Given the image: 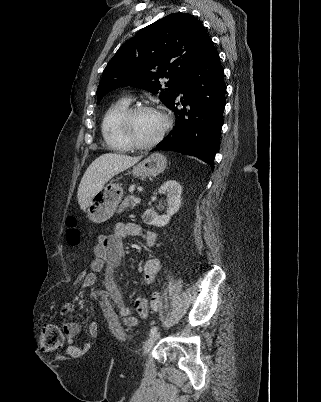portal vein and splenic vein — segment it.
I'll list each match as a JSON object with an SVG mask.
<instances>
[{"instance_id": "obj_1", "label": "portal vein and splenic vein", "mask_w": 321, "mask_h": 402, "mask_svg": "<svg viewBox=\"0 0 321 402\" xmlns=\"http://www.w3.org/2000/svg\"><path fill=\"white\" fill-rule=\"evenodd\" d=\"M133 199H134V201H135V203H140V198H135V197H133Z\"/></svg>"}]
</instances>
